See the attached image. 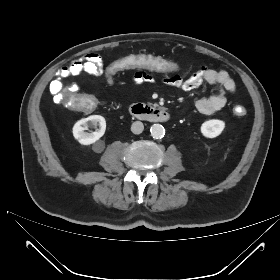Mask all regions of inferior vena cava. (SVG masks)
<instances>
[{"instance_id": "602c4592", "label": "inferior vena cava", "mask_w": 280, "mask_h": 280, "mask_svg": "<svg viewBox=\"0 0 280 280\" xmlns=\"http://www.w3.org/2000/svg\"><path fill=\"white\" fill-rule=\"evenodd\" d=\"M143 130H144V125L140 121H135L131 126V131L134 134H140L142 133Z\"/></svg>"}]
</instances>
